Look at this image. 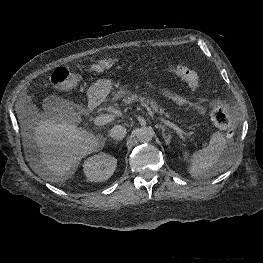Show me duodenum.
Returning a JSON list of instances; mask_svg holds the SVG:
<instances>
[{
    "mask_svg": "<svg viewBox=\"0 0 263 263\" xmlns=\"http://www.w3.org/2000/svg\"><path fill=\"white\" fill-rule=\"evenodd\" d=\"M96 107V103H95V101H90V103H89V109L90 110H93L94 108Z\"/></svg>",
    "mask_w": 263,
    "mask_h": 263,
    "instance_id": "410a0bca",
    "label": "duodenum"
}]
</instances>
